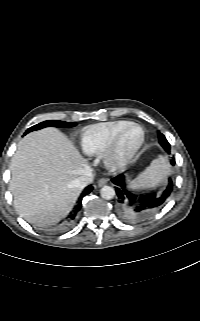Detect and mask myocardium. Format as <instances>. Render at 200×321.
<instances>
[{
	"instance_id": "myocardium-1",
	"label": "myocardium",
	"mask_w": 200,
	"mask_h": 321,
	"mask_svg": "<svg viewBox=\"0 0 200 321\" xmlns=\"http://www.w3.org/2000/svg\"><path fill=\"white\" fill-rule=\"evenodd\" d=\"M133 127H138L141 129L142 135L139 140V142L130 150L126 152L120 151V146L122 139L125 135V133ZM145 130L142 125L138 123L131 122L125 127H123L114 137L112 142L109 144L107 149L103 153V162L105 167L112 172H118L124 170L130 162L133 160V158L136 156V154L139 152L141 147L143 146L145 142Z\"/></svg>"
}]
</instances>
